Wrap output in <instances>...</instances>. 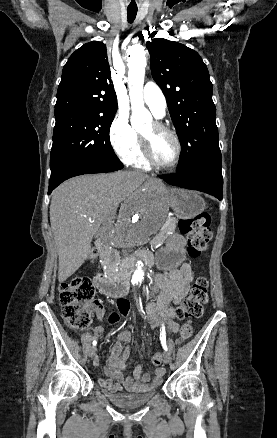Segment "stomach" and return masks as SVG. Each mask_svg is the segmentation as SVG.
I'll return each instance as SVG.
<instances>
[{"instance_id": "1", "label": "stomach", "mask_w": 277, "mask_h": 438, "mask_svg": "<svg viewBox=\"0 0 277 438\" xmlns=\"http://www.w3.org/2000/svg\"><path fill=\"white\" fill-rule=\"evenodd\" d=\"M171 207L180 219L198 216L205 209V201L197 193L185 189H173L169 192ZM186 240L180 234L169 236L165 248L157 253V265L160 269L177 268L185 258Z\"/></svg>"}]
</instances>
